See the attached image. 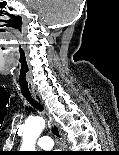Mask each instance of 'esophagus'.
I'll use <instances>...</instances> for the list:
<instances>
[{
	"mask_svg": "<svg viewBox=\"0 0 119 155\" xmlns=\"http://www.w3.org/2000/svg\"><path fill=\"white\" fill-rule=\"evenodd\" d=\"M32 96L34 97V99L36 101H38L44 107V112H45L47 118L49 119V121L54 122L53 117L51 116L50 112L47 110L46 106L44 105V101H43L41 95L38 93H33Z\"/></svg>",
	"mask_w": 119,
	"mask_h": 155,
	"instance_id": "obj_1",
	"label": "esophagus"
}]
</instances>
